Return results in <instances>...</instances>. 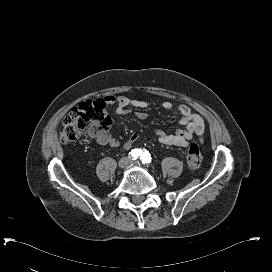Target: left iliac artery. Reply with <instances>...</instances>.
I'll list each match as a JSON object with an SVG mask.
<instances>
[{
	"label": "left iliac artery",
	"mask_w": 272,
	"mask_h": 272,
	"mask_svg": "<svg viewBox=\"0 0 272 272\" xmlns=\"http://www.w3.org/2000/svg\"><path fill=\"white\" fill-rule=\"evenodd\" d=\"M143 163H150L152 158L147 150L141 151V158Z\"/></svg>",
	"instance_id": "left-iliac-artery-1"
}]
</instances>
